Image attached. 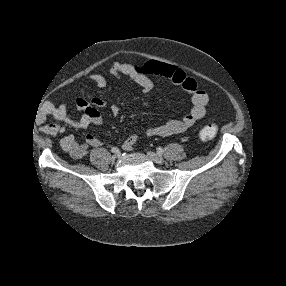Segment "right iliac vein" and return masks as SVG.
Wrapping results in <instances>:
<instances>
[{
	"label": "right iliac vein",
	"mask_w": 286,
	"mask_h": 286,
	"mask_svg": "<svg viewBox=\"0 0 286 286\" xmlns=\"http://www.w3.org/2000/svg\"><path fill=\"white\" fill-rule=\"evenodd\" d=\"M116 159H117V156H116V155H113V156L111 157V161H112V162H115Z\"/></svg>",
	"instance_id": "1"
}]
</instances>
